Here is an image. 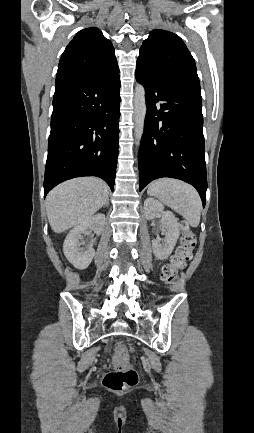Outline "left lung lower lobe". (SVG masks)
Returning a JSON list of instances; mask_svg holds the SVG:
<instances>
[{
  "label": "left lung lower lobe",
  "instance_id": "1",
  "mask_svg": "<svg viewBox=\"0 0 254 433\" xmlns=\"http://www.w3.org/2000/svg\"><path fill=\"white\" fill-rule=\"evenodd\" d=\"M135 76L145 87L147 104L138 155L139 191L157 178H177L197 189L204 207L207 176L200 91L160 79L141 65Z\"/></svg>",
  "mask_w": 254,
  "mask_h": 433
}]
</instances>
